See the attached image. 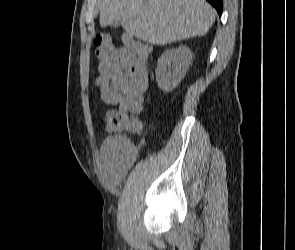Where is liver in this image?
I'll list each match as a JSON object with an SVG mask.
<instances>
[{
  "label": "liver",
  "mask_w": 295,
  "mask_h": 250,
  "mask_svg": "<svg viewBox=\"0 0 295 250\" xmlns=\"http://www.w3.org/2000/svg\"><path fill=\"white\" fill-rule=\"evenodd\" d=\"M216 12L205 0H102L100 25L120 22L132 37L165 45L204 36Z\"/></svg>",
  "instance_id": "obj_1"
}]
</instances>
